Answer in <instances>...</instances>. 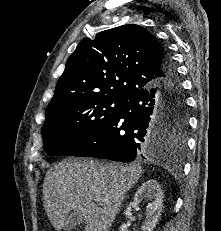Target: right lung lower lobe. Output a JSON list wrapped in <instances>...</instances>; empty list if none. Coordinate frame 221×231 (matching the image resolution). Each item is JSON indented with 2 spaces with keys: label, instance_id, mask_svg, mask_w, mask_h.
I'll list each match as a JSON object with an SVG mask.
<instances>
[{
  "label": "right lung lower lobe",
  "instance_id": "98d812e1",
  "mask_svg": "<svg viewBox=\"0 0 221 231\" xmlns=\"http://www.w3.org/2000/svg\"><path fill=\"white\" fill-rule=\"evenodd\" d=\"M161 69L160 83L126 97L103 128L65 155L131 162L160 153L170 135L160 125L159 117L167 103H185L175 64L165 49Z\"/></svg>",
  "mask_w": 221,
  "mask_h": 231
}]
</instances>
